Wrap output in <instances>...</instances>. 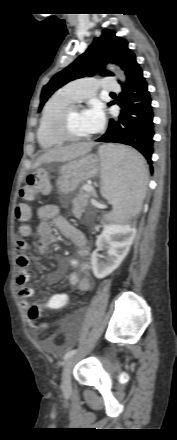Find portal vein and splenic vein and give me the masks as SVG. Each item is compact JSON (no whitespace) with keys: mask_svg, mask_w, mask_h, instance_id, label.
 <instances>
[{"mask_svg":"<svg viewBox=\"0 0 177 440\" xmlns=\"http://www.w3.org/2000/svg\"><path fill=\"white\" fill-rule=\"evenodd\" d=\"M86 190H87V191H92V190H93V187H92L91 185H88V186H86Z\"/></svg>","mask_w":177,"mask_h":440,"instance_id":"1","label":"portal vein and splenic vein"}]
</instances>
